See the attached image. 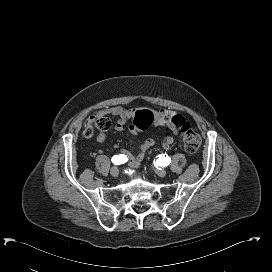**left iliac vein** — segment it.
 I'll use <instances>...</instances> for the list:
<instances>
[{
  "label": "left iliac vein",
  "mask_w": 272,
  "mask_h": 272,
  "mask_svg": "<svg viewBox=\"0 0 272 272\" xmlns=\"http://www.w3.org/2000/svg\"><path fill=\"white\" fill-rule=\"evenodd\" d=\"M156 173L158 176L160 177H165L166 176V171L164 168H157L156 169Z\"/></svg>",
  "instance_id": "obj_1"
}]
</instances>
